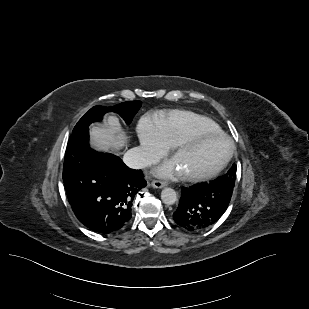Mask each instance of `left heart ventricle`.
Returning <instances> with one entry per match:
<instances>
[{
    "label": "left heart ventricle",
    "mask_w": 309,
    "mask_h": 309,
    "mask_svg": "<svg viewBox=\"0 0 309 309\" xmlns=\"http://www.w3.org/2000/svg\"><path fill=\"white\" fill-rule=\"evenodd\" d=\"M228 150L227 141L218 137H206L180 150L175 158L183 172L203 173L216 167Z\"/></svg>",
    "instance_id": "left-heart-ventricle-1"
}]
</instances>
